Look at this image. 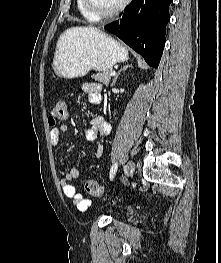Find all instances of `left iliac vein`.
<instances>
[{"label": "left iliac vein", "instance_id": "4c4485c4", "mask_svg": "<svg viewBox=\"0 0 221 263\" xmlns=\"http://www.w3.org/2000/svg\"><path fill=\"white\" fill-rule=\"evenodd\" d=\"M134 169H135L134 162L129 161L126 165L125 172H124V175H123L122 180H121L122 183H125L127 181V179L133 174Z\"/></svg>", "mask_w": 221, "mask_h": 263}]
</instances>
